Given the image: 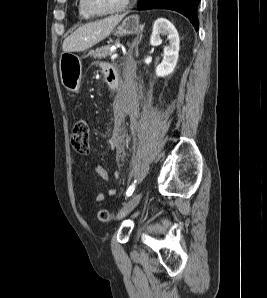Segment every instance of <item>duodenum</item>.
Returning a JSON list of instances; mask_svg holds the SVG:
<instances>
[{"label":"duodenum","mask_w":267,"mask_h":298,"mask_svg":"<svg viewBox=\"0 0 267 298\" xmlns=\"http://www.w3.org/2000/svg\"><path fill=\"white\" fill-rule=\"evenodd\" d=\"M106 78L108 85L111 89H118L120 88V78L118 71L115 67H111L107 72H106Z\"/></svg>","instance_id":"410a0bca"}]
</instances>
